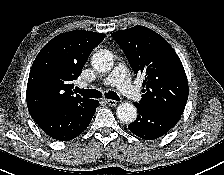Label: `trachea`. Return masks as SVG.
I'll return each instance as SVG.
<instances>
[{"label":"trachea","instance_id":"trachea-1","mask_svg":"<svg viewBox=\"0 0 224 175\" xmlns=\"http://www.w3.org/2000/svg\"><path fill=\"white\" fill-rule=\"evenodd\" d=\"M76 92L81 94L83 97H87V98H101L102 94L101 92L94 90V89H80L78 87H76ZM105 97L108 99H112V100H116V101H120V97L117 95V93L113 92V91H108L107 93H105Z\"/></svg>","mask_w":224,"mask_h":175}]
</instances>
